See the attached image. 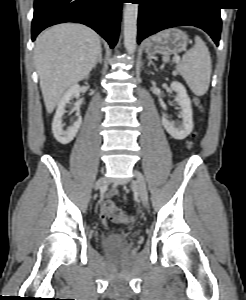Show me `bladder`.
I'll list each match as a JSON object with an SVG mask.
<instances>
[{
    "mask_svg": "<svg viewBox=\"0 0 246 300\" xmlns=\"http://www.w3.org/2000/svg\"><path fill=\"white\" fill-rule=\"evenodd\" d=\"M130 235L122 232H112L101 239L103 249L110 255H119L128 247Z\"/></svg>",
    "mask_w": 246,
    "mask_h": 300,
    "instance_id": "bladder-1",
    "label": "bladder"
}]
</instances>
